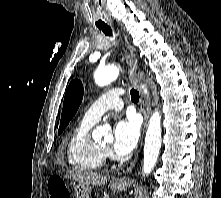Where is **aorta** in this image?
Wrapping results in <instances>:
<instances>
[{"label":"aorta","instance_id":"obj_1","mask_svg":"<svg viewBox=\"0 0 221 198\" xmlns=\"http://www.w3.org/2000/svg\"><path fill=\"white\" fill-rule=\"evenodd\" d=\"M117 66H108L97 69L94 73V80L98 86H106L115 81L119 75ZM110 137V133L102 126H97L93 131V137ZM161 147V116L156 110L150 117L149 125L145 135L144 157H143V176H147L153 170Z\"/></svg>","mask_w":221,"mask_h":198}]
</instances>
